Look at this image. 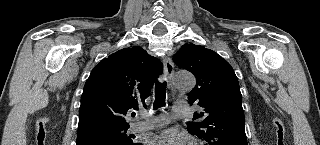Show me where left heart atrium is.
Masks as SVG:
<instances>
[{"label": "left heart atrium", "mask_w": 320, "mask_h": 145, "mask_svg": "<svg viewBox=\"0 0 320 145\" xmlns=\"http://www.w3.org/2000/svg\"><path fill=\"white\" fill-rule=\"evenodd\" d=\"M151 145H190L188 136L176 130H165L149 138Z\"/></svg>", "instance_id": "left-heart-atrium-1"}]
</instances>
